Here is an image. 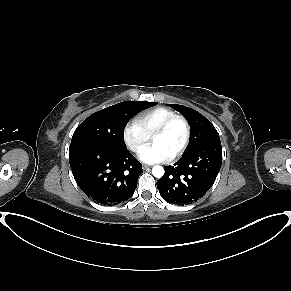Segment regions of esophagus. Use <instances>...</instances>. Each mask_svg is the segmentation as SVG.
<instances>
[{"mask_svg":"<svg viewBox=\"0 0 291 291\" xmlns=\"http://www.w3.org/2000/svg\"><path fill=\"white\" fill-rule=\"evenodd\" d=\"M142 168L143 169H148V168H150V166L144 164V165H142Z\"/></svg>","mask_w":291,"mask_h":291,"instance_id":"34e87169","label":"esophagus"}]
</instances>
